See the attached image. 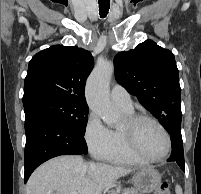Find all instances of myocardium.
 I'll return each instance as SVG.
<instances>
[{
    "mask_svg": "<svg viewBox=\"0 0 201 194\" xmlns=\"http://www.w3.org/2000/svg\"><path fill=\"white\" fill-rule=\"evenodd\" d=\"M143 121H149L155 124L165 135L166 141H167V148L163 155L156 158L149 157V156H146L144 153H142L140 149L138 148L137 141H136L137 129L140 123H142ZM121 130L124 135L128 149L135 156H137L138 158H140L141 160L145 162H151V163L160 162L164 160L165 158H167L172 150V138L169 131L159 120H157L156 118L152 116H149L146 114H134V115L128 116L123 126L121 127Z\"/></svg>",
    "mask_w": 201,
    "mask_h": 194,
    "instance_id": "myocardium-1",
    "label": "myocardium"
}]
</instances>
